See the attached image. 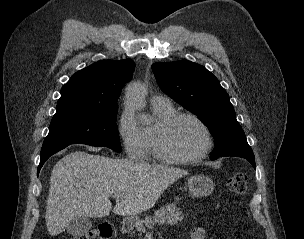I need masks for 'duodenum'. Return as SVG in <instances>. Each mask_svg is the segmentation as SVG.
I'll return each mask as SVG.
<instances>
[{
	"label": "duodenum",
	"mask_w": 304,
	"mask_h": 239,
	"mask_svg": "<svg viewBox=\"0 0 304 239\" xmlns=\"http://www.w3.org/2000/svg\"><path fill=\"white\" fill-rule=\"evenodd\" d=\"M135 225V221L132 219H126L123 221L122 226H121V231L122 233H128L130 232Z\"/></svg>",
	"instance_id": "410a0bca"
}]
</instances>
